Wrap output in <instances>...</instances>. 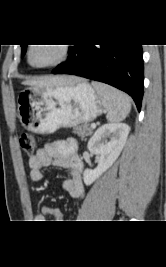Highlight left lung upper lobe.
<instances>
[{
  "mask_svg": "<svg viewBox=\"0 0 166 267\" xmlns=\"http://www.w3.org/2000/svg\"><path fill=\"white\" fill-rule=\"evenodd\" d=\"M21 47H22L21 56H24V54L26 52V45H21Z\"/></svg>",
  "mask_w": 166,
  "mask_h": 267,
  "instance_id": "left-lung-upper-lobe-1",
  "label": "left lung upper lobe"
}]
</instances>
